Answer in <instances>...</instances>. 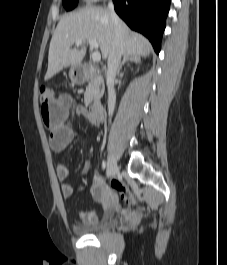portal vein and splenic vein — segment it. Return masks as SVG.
I'll list each match as a JSON object with an SVG mask.
<instances>
[{
	"label": "portal vein and splenic vein",
	"mask_w": 227,
	"mask_h": 265,
	"mask_svg": "<svg viewBox=\"0 0 227 265\" xmlns=\"http://www.w3.org/2000/svg\"><path fill=\"white\" fill-rule=\"evenodd\" d=\"M91 48H94L95 51L92 53V60L94 62H99L101 60V54L98 51V43L95 40H88L87 41ZM76 45H81L83 43L82 39H76Z\"/></svg>",
	"instance_id": "obj_1"
}]
</instances>
